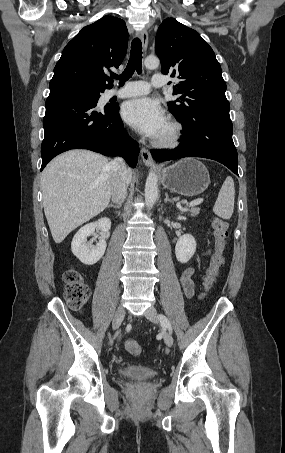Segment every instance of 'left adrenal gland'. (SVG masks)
<instances>
[{
  "instance_id": "left-adrenal-gland-1",
  "label": "left adrenal gland",
  "mask_w": 285,
  "mask_h": 453,
  "mask_svg": "<svg viewBox=\"0 0 285 453\" xmlns=\"http://www.w3.org/2000/svg\"><path fill=\"white\" fill-rule=\"evenodd\" d=\"M165 196H166V198L164 199L165 203L170 202V203L174 204V202L169 198L168 193H165Z\"/></svg>"
}]
</instances>
